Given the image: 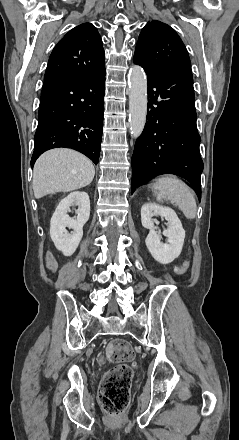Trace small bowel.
<instances>
[{
	"mask_svg": "<svg viewBox=\"0 0 239 440\" xmlns=\"http://www.w3.org/2000/svg\"><path fill=\"white\" fill-rule=\"evenodd\" d=\"M46 265L51 271L57 270V267H58L57 261L50 253L46 254Z\"/></svg>",
	"mask_w": 239,
	"mask_h": 440,
	"instance_id": "1",
	"label": "small bowel"
}]
</instances>
